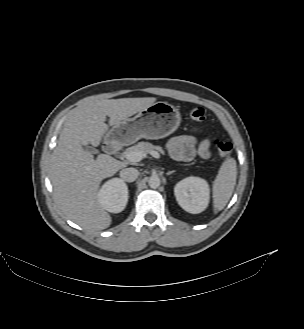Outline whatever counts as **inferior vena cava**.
Listing matches in <instances>:
<instances>
[{"label": "inferior vena cava", "mask_w": 304, "mask_h": 329, "mask_svg": "<svg viewBox=\"0 0 304 329\" xmlns=\"http://www.w3.org/2000/svg\"><path fill=\"white\" fill-rule=\"evenodd\" d=\"M139 171L135 168H124L120 171V177L123 181L133 182L137 179Z\"/></svg>", "instance_id": "obj_1"}]
</instances>
